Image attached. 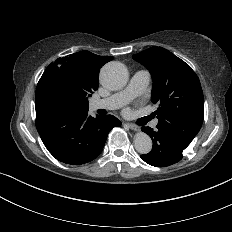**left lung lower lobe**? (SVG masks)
Instances as JSON below:
<instances>
[{"mask_svg": "<svg viewBox=\"0 0 232 232\" xmlns=\"http://www.w3.org/2000/svg\"><path fill=\"white\" fill-rule=\"evenodd\" d=\"M156 128L155 131L150 127L141 128L153 141L152 150L146 155H141V158L155 167H165L179 162L190 142L158 125Z\"/></svg>", "mask_w": 232, "mask_h": 232, "instance_id": "left-lung-lower-lobe-1", "label": "left lung lower lobe"}]
</instances>
